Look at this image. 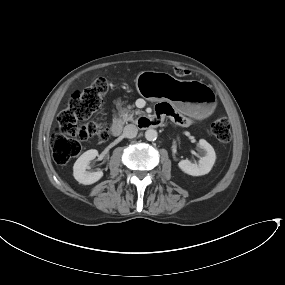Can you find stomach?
Listing matches in <instances>:
<instances>
[{"label": "stomach", "mask_w": 285, "mask_h": 285, "mask_svg": "<svg viewBox=\"0 0 285 285\" xmlns=\"http://www.w3.org/2000/svg\"><path fill=\"white\" fill-rule=\"evenodd\" d=\"M136 88L150 101L167 100L190 117H208L216 106L212 89L197 80H179L165 72L143 71L136 78Z\"/></svg>", "instance_id": "1"}]
</instances>
